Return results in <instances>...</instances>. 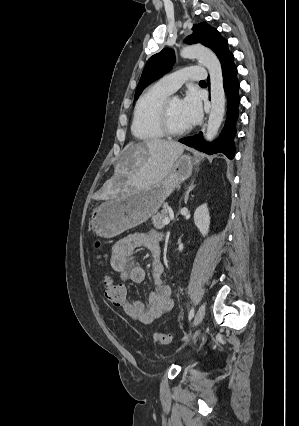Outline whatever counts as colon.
Segmentation results:
<instances>
[{
  "instance_id": "1",
  "label": "colon",
  "mask_w": 299,
  "mask_h": 426,
  "mask_svg": "<svg viewBox=\"0 0 299 426\" xmlns=\"http://www.w3.org/2000/svg\"><path fill=\"white\" fill-rule=\"evenodd\" d=\"M95 248L98 251L97 259L105 258V254L100 251L101 243L96 242ZM104 296L106 300L114 307L122 308L127 300V289L122 282H116L112 277L106 276L103 280ZM154 340L161 345H169L172 341L171 336L165 333H155Z\"/></svg>"
}]
</instances>
